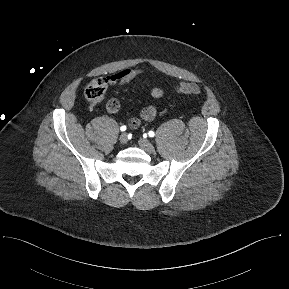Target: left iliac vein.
<instances>
[{
	"instance_id": "1",
	"label": "left iliac vein",
	"mask_w": 289,
	"mask_h": 289,
	"mask_svg": "<svg viewBox=\"0 0 289 289\" xmlns=\"http://www.w3.org/2000/svg\"><path fill=\"white\" fill-rule=\"evenodd\" d=\"M139 145L144 151L148 153H153L155 151L153 144L149 142L147 139L141 138L139 140Z\"/></svg>"
}]
</instances>
